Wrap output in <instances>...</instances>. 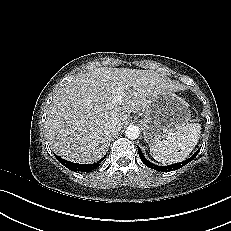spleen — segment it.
<instances>
[{"mask_svg": "<svg viewBox=\"0 0 231 231\" xmlns=\"http://www.w3.org/2000/svg\"><path fill=\"white\" fill-rule=\"evenodd\" d=\"M201 126L198 122L188 123L166 140H157L150 145L153 158L163 164H172L185 160L198 143Z\"/></svg>", "mask_w": 231, "mask_h": 231, "instance_id": "1", "label": "spleen"}]
</instances>
